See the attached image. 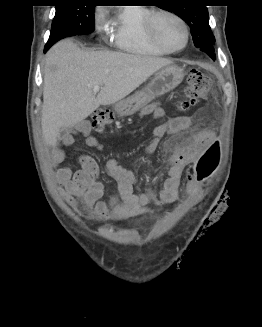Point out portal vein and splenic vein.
<instances>
[{
	"instance_id": "18ae733b",
	"label": "portal vein and splenic vein",
	"mask_w": 262,
	"mask_h": 327,
	"mask_svg": "<svg viewBox=\"0 0 262 327\" xmlns=\"http://www.w3.org/2000/svg\"><path fill=\"white\" fill-rule=\"evenodd\" d=\"M101 89V87L99 85H95L93 86V91L96 93V92H99Z\"/></svg>"
}]
</instances>
